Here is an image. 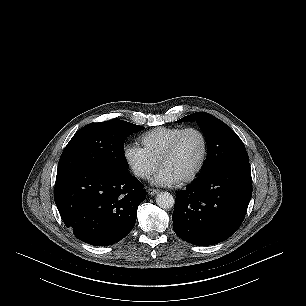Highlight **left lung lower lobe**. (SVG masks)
<instances>
[{"label": "left lung lower lobe", "mask_w": 306, "mask_h": 306, "mask_svg": "<svg viewBox=\"0 0 306 306\" xmlns=\"http://www.w3.org/2000/svg\"><path fill=\"white\" fill-rule=\"evenodd\" d=\"M251 196L249 163L216 168L176 194L173 229L194 245L222 242L240 227Z\"/></svg>", "instance_id": "0a47b994"}]
</instances>
